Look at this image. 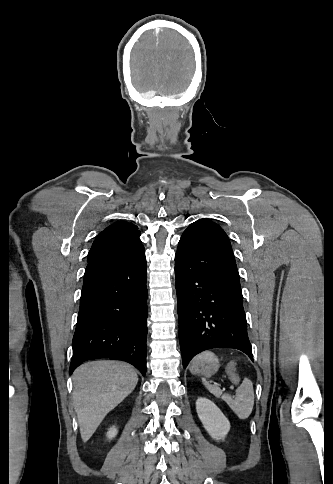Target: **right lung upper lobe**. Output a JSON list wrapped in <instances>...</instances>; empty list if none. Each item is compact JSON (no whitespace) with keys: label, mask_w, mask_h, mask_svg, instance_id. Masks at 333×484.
<instances>
[{"label":"right lung upper lobe","mask_w":333,"mask_h":484,"mask_svg":"<svg viewBox=\"0 0 333 484\" xmlns=\"http://www.w3.org/2000/svg\"><path fill=\"white\" fill-rule=\"evenodd\" d=\"M139 236L137 226L128 222H116L96 237L89 251L88 261L129 254L143 247Z\"/></svg>","instance_id":"1"}]
</instances>
